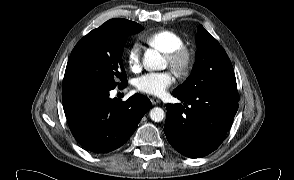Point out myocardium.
<instances>
[{"mask_svg": "<svg viewBox=\"0 0 294 180\" xmlns=\"http://www.w3.org/2000/svg\"><path fill=\"white\" fill-rule=\"evenodd\" d=\"M167 58L169 65L178 75H184L192 68L193 55L186 48H180L168 53Z\"/></svg>", "mask_w": 294, "mask_h": 180, "instance_id": "f54148a6", "label": "myocardium"}]
</instances>
